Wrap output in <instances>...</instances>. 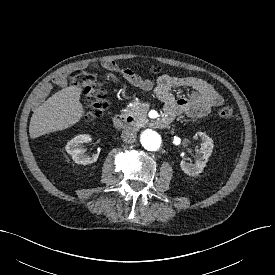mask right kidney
<instances>
[{
    "label": "right kidney",
    "instance_id": "right-kidney-1",
    "mask_svg": "<svg viewBox=\"0 0 275 275\" xmlns=\"http://www.w3.org/2000/svg\"><path fill=\"white\" fill-rule=\"evenodd\" d=\"M88 140H90V135L81 134L67 143L65 149L75 163L86 165L97 161L98 154H93L92 156L86 155L82 148V144Z\"/></svg>",
    "mask_w": 275,
    "mask_h": 275
}]
</instances>
